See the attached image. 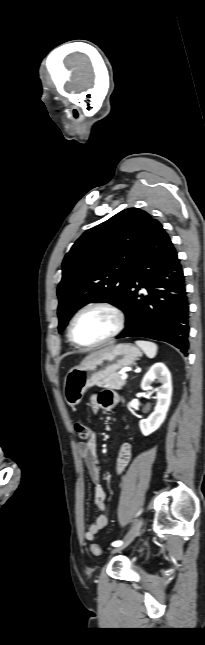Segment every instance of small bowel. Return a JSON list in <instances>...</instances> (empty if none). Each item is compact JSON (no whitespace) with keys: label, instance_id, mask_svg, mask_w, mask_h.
<instances>
[{"label":"small bowel","instance_id":"c3829d8e","mask_svg":"<svg viewBox=\"0 0 205 645\" xmlns=\"http://www.w3.org/2000/svg\"><path fill=\"white\" fill-rule=\"evenodd\" d=\"M118 402V395L113 391L107 390L92 397L91 408L94 413L98 412L100 409L111 410L118 404ZM77 452L83 459L90 479L95 485L93 498L94 505L98 510L102 511V513L96 517L94 522L90 524V526L84 533L85 539L92 541L102 529L107 527L109 523L108 515L105 513L106 493L104 488L100 484L101 472L97 458V438L94 432L91 433V437L87 442H81L77 444ZM131 456V445L128 443L123 444L119 450L116 466L117 472L119 474L125 471L130 462Z\"/></svg>","mask_w":205,"mask_h":645}]
</instances>
